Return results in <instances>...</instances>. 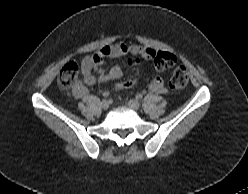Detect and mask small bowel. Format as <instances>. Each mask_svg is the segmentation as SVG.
Returning a JSON list of instances; mask_svg holds the SVG:
<instances>
[{"instance_id":"obj_1","label":"small bowel","mask_w":248,"mask_h":194,"mask_svg":"<svg viewBox=\"0 0 248 194\" xmlns=\"http://www.w3.org/2000/svg\"><path fill=\"white\" fill-rule=\"evenodd\" d=\"M132 54L151 59L155 51L138 45L115 44L103 47L99 52L86 56L81 64L82 81L73 88V95L76 98H83L88 94L87 86L97 82L106 83L119 79L122 76V69L119 64H114L110 69H105L103 63L105 59H120L121 57ZM151 91L159 94L167 92V87L161 77L153 79L149 85Z\"/></svg>"}]
</instances>
